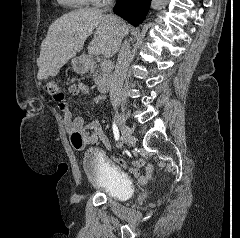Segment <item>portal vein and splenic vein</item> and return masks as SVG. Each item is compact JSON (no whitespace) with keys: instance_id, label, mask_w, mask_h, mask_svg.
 <instances>
[{"instance_id":"1","label":"portal vein and splenic vein","mask_w":240,"mask_h":238,"mask_svg":"<svg viewBox=\"0 0 240 238\" xmlns=\"http://www.w3.org/2000/svg\"><path fill=\"white\" fill-rule=\"evenodd\" d=\"M89 53L90 54H94L96 55L97 52L95 51V49L93 50H89ZM101 67L103 68V70H107L111 67V62L110 61H107V60H104L102 63H101Z\"/></svg>"}]
</instances>
